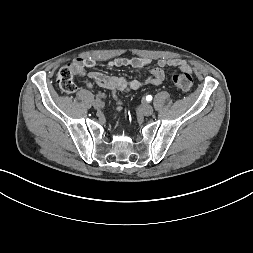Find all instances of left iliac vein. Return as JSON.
Listing matches in <instances>:
<instances>
[{
    "label": "left iliac vein",
    "mask_w": 253,
    "mask_h": 253,
    "mask_svg": "<svg viewBox=\"0 0 253 253\" xmlns=\"http://www.w3.org/2000/svg\"><path fill=\"white\" fill-rule=\"evenodd\" d=\"M140 111L142 112L143 115L145 116H150L153 114L154 112V109L153 107L150 105V104H143L141 107H140Z\"/></svg>",
    "instance_id": "4c4485c4"
}]
</instances>
